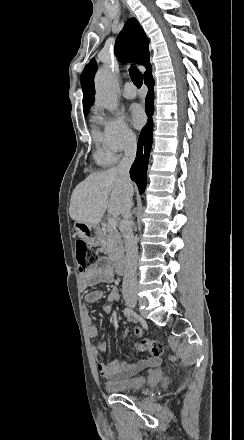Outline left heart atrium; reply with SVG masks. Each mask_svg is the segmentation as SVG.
<instances>
[{"instance_id": "1", "label": "left heart atrium", "mask_w": 244, "mask_h": 440, "mask_svg": "<svg viewBox=\"0 0 244 440\" xmlns=\"http://www.w3.org/2000/svg\"><path fill=\"white\" fill-rule=\"evenodd\" d=\"M132 122L136 127H141L146 120L145 112L142 106L134 104L131 107Z\"/></svg>"}]
</instances>
